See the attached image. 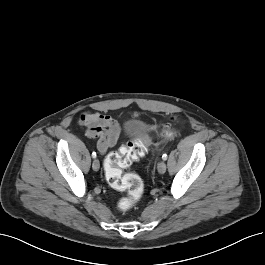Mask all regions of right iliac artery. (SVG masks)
Returning a JSON list of instances; mask_svg holds the SVG:
<instances>
[{"label":"right iliac artery","instance_id":"right-iliac-artery-1","mask_svg":"<svg viewBox=\"0 0 265 265\" xmlns=\"http://www.w3.org/2000/svg\"><path fill=\"white\" fill-rule=\"evenodd\" d=\"M92 157L96 158V153L95 152L92 153Z\"/></svg>","mask_w":265,"mask_h":265}]
</instances>
